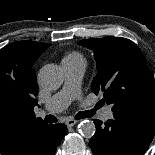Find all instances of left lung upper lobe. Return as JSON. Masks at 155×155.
Returning a JSON list of instances; mask_svg holds the SVG:
<instances>
[{"mask_svg": "<svg viewBox=\"0 0 155 155\" xmlns=\"http://www.w3.org/2000/svg\"><path fill=\"white\" fill-rule=\"evenodd\" d=\"M95 53L97 75L92 91L103 93L113 113L155 109V81L140 48L121 37L84 39L79 43Z\"/></svg>", "mask_w": 155, "mask_h": 155, "instance_id": "5c2ea615", "label": "left lung upper lobe"}]
</instances>
